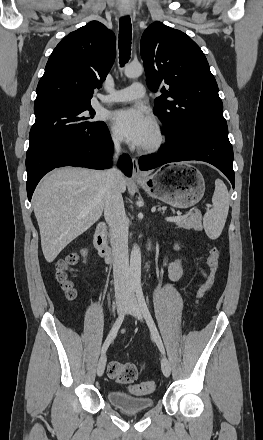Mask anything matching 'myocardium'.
Returning a JSON list of instances; mask_svg holds the SVG:
<instances>
[{
	"label": "myocardium",
	"mask_w": 263,
	"mask_h": 440,
	"mask_svg": "<svg viewBox=\"0 0 263 440\" xmlns=\"http://www.w3.org/2000/svg\"><path fill=\"white\" fill-rule=\"evenodd\" d=\"M153 139L144 145H140L139 151L143 153H154L161 149L166 141L167 135L162 126L157 122H152Z\"/></svg>",
	"instance_id": "myocardium-1"
}]
</instances>
